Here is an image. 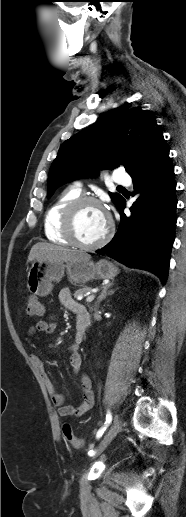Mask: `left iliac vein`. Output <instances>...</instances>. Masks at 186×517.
I'll list each match as a JSON object with an SVG mask.
<instances>
[{
    "label": "left iliac vein",
    "mask_w": 186,
    "mask_h": 517,
    "mask_svg": "<svg viewBox=\"0 0 186 517\" xmlns=\"http://www.w3.org/2000/svg\"><path fill=\"white\" fill-rule=\"evenodd\" d=\"M121 429H122V420L117 417L114 420L112 426L109 428V430L103 436L96 453L93 455V458H95L96 456L101 454L106 449V447L115 438V436L121 431Z\"/></svg>",
    "instance_id": "1"
}]
</instances>
